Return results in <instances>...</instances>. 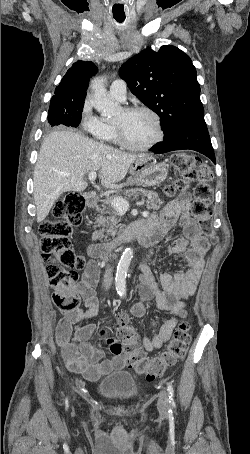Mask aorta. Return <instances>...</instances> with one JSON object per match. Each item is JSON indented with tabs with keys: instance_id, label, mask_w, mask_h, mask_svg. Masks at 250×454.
Here are the masks:
<instances>
[{
	"instance_id": "aorta-1",
	"label": "aorta",
	"mask_w": 250,
	"mask_h": 454,
	"mask_svg": "<svg viewBox=\"0 0 250 454\" xmlns=\"http://www.w3.org/2000/svg\"><path fill=\"white\" fill-rule=\"evenodd\" d=\"M92 96L90 102L92 106L99 111L103 116H110L117 112L119 106L115 103L107 93L102 78H95L91 83ZM133 258V249L126 248L122 253L119 260L116 277L115 287L118 295L123 297L126 295V276Z\"/></svg>"
}]
</instances>
